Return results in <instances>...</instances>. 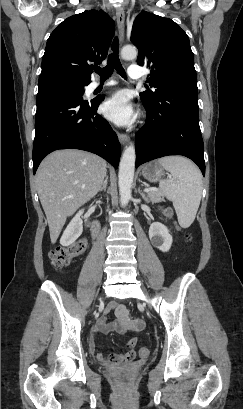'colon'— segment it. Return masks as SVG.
<instances>
[{"label": "colon", "mask_w": 243, "mask_h": 409, "mask_svg": "<svg viewBox=\"0 0 243 409\" xmlns=\"http://www.w3.org/2000/svg\"><path fill=\"white\" fill-rule=\"evenodd\" d=\"M162 213L165 216L170 217L172 215V209L169 207H164L162 208ZM185 238L189 240L190 235L185 234ZM86 247V239H80L69 247H58L51 253V263L57 269L63 268L67 266L74 257L82 254L85 251ZM138 352L139 355L143 358H148L150 356V349L147 347L139 348Z\"/></svg>", "instance_id": "5ec220e1"}]
</instances>
